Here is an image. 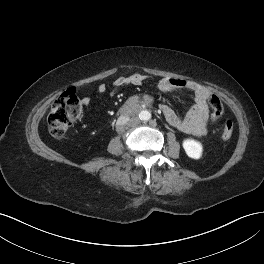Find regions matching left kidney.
I'll use <instances>...</instances> for the list:
<instances>
[{"instance_id": "5707ae66", "label": "left kidney", "mask_w": 264, "mask_h": 264, "mask_svg": "<svg viewBox=\"0 0 264 264\" xmlns=\"http://www.w3.org/2000/svg\"><path fill=\"white\" fill-rule=\"evenodd\" d=\"M183 148L192 159H199L202 156V144L193 139H186L183 141Z\"/></svg>"}]
</instances>
